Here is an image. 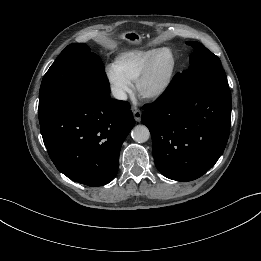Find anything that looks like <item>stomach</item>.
Instances as JSON below:
<instances>
[{
	"label": "stomach",
	"mask_w": 261,
	"mask_h": 261,
	"mask_svg": "<svg viewBox=\"0 0 261 261\" xmlns=\"http://www.w3.org/2000/svg\"><path fill=\"white\" fill-rule=\"evenodd\" d=\"M118 39L123 40L129 44H137L140 41V36L134 31H127L117 36Z\"/></svg>",
	"instance_id": "1"
}]
</instances>
